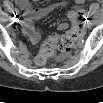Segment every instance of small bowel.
Segmentation results:
<instances>
[{
  "label": "small bowel",
  "mask_w": 103,
  "mask_h": 103,
  "mask_svg": "<svg viewBox=\"0 0 103 103\" xmlns=\"http://www.w3.org/2000/svg\"><path fill=\"white\" fill-rule=\"evenodd\" d=\"M17 5L23 10V23L22 32L23 34L32 42L38 43L41 39L40 32L34 27L33 21L35 19H40L45 17L49 13L53 12L55 9L64 6V3H54L47 5L45 7L35 8L31 3L25 0L17 2ZM93 7H97L96 4ZM59 30H64L67 28V23H60L58 25Z\"/></svg>",
  "instance_id": "1"
}]
</instances>
